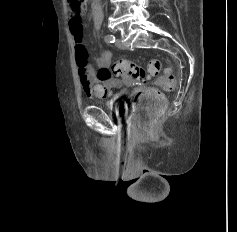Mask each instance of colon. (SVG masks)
I'll return each instance as SVG.
<instances>
[{"label":"colon","instance_id":"obj_1","mask_svg":"<svg viewBox=\"0 0 237 232\" xmlns=\"http://www.w3.org/2000/svg\"><path fill=\"white\" fill-rule=\"evenodd\" d=\"M72 10L82 12L85 8L86 0H68ZM161 63L153 59L146 68L139 67L135 63L121 59L114 63L112 72L115 76L130 75L139 80H145L151 76H158L157 85L165 90L174 87V76L167 72L159 76ZM165 109V99L162 93L155 87H144L134 96L132 122L134 126L144 134H149L159 117Z\"/></svg>","mask_w":237,"mask_h":232}]
</instances>
